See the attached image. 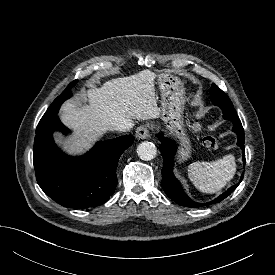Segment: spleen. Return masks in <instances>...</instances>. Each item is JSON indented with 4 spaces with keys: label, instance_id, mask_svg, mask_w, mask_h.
Here are the masks:
<instances>
[{
    "label": "spleen",
    "instance_id": "1",
    "mask_svg": "<svg viewBox=\"0 0 275 275\" xmlns=\"http://www.w3.org/2000/svg\"><path fill=\"white\" fill-rule=\"evenodd\" d=\"M188 177L194 186L204 193H217L235 175L236 163L233 155L212 162H194L188 166Z\"/></svg>",
    "mask_w": 275,
    "mask_h": 275
}]
</instances>
